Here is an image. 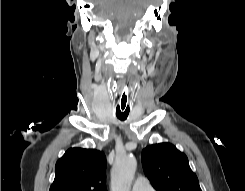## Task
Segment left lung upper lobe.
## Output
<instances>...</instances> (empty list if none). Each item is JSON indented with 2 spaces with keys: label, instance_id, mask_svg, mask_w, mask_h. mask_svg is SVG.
I'll list each match as a JSON object with an SVG mask.
<instances>
[{
  "label": "left lung upper lobe",
  "instance_id": "left-lung-upper-lobe-1",
  "mask_svg": "<svg viewBox=\"0 0 245 191\" xmlns=\"http://www.w3.org/2000/svg\"><path fill=\"white\" fill-rule=\"evenodd\" d=\"M146 176L157 191H201L187 156L169 143L154 144L142 151Z\"/></svg>",
  "mask_w": 245,
  "mask_h": 191
}]
</instances>
